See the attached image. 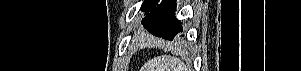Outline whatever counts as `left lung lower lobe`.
I'll return each mask as SVG.
<instances>
[{
  "label": "left lung lower lobe",
  "instance_id": "obj_1",
  "mask_svg": "<svg viewBox=\"0 0 301 71\" xmlns=\"http://www.w3.org/2000/svg\"><path fill=\"white\" fill-rule=\"evenodd\" d=\"M176 0H162L143 18L142 25L154 36L181 42L183 27L175 17Z\"/></svg>",
  "mask_w": 301,
  "mask_h": 71
}]
</instances>
